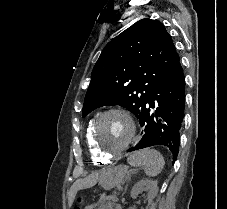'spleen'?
Wrapping results in <instances>:
<instances>
[{
  "label": "spleen",
  "mask_w": 227,
  "mask_h": 209,
  "mask_svg": "<svg viewBox=\"0 0 227 209\" xmlns=\"http://www.w3.org/2000/svg\"><path fill=\"white\" fill-rule=\"evenodd\" d=\"M127 161L131 167H141V169H144L145 175H148V177H157L165 165L164 157L155 149L135 151L133 155L128 157Z\"/></svg>",
  "instance_id": "1"
}]
</instances>
